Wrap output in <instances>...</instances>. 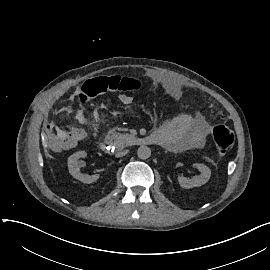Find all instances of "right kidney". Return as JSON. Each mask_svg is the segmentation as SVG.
<instances>
[{
	"label": "right kidney",
	"instance_id": "1",
	"mask_svg": "<svg viewBox=\"0 0 270 270\" xmlns=\"http://www.w3.org/2000/svg\"><path fill=\"white\" fill-rule=\"evenodd\" d=\"M87 156V153L85 151H78L72 154L68 158V169L69 173L75 178L78 179L79 181L83 183H93L99 179V174L95 175H86L80 173V165L78 164V160L80 158H85Z\"/></svg>",
	"mask_w": 270,
	"mask_h": 270
}]
</instances>
